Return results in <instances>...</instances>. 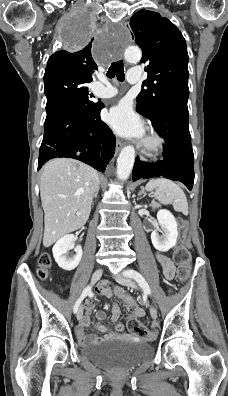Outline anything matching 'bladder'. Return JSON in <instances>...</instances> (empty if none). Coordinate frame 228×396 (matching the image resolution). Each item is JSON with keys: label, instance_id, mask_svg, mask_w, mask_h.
<instances>
[{"label": "bladder", "instance_id": "31cf9c89", "mask_svg": "<svg viewBox=\"0 0 228 396\" xmlns=\"http://www.w3.org/2000/svg\"><path fill=\"white\" fill-rule=\"evenodd\" d=\"M149 344L121 339H107L80 349L83 358L110 370H129L152 358Z\"/></svg>", "mask_w": 228, "mask_h": 396}]
</instances>
